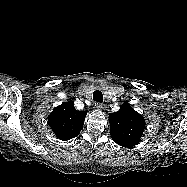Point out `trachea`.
Returning <instances> with one entry per match:
<instances>
[{
  "instance_id": "obj_1",
  "label": "trachea",
  "mask_w": 187,
  "mask_h": 187,
  "mask_svg": "<svg viewBox=\"0 0 187 187\" xmlns=\"http://www.w3.org/2000/svg\"><path fill=\"white\" fill-rule=\"evenodd\" d=\"M93 100L95 102L102 103L103 102V94H102V92L99 91V90L94 91Z\"/></svg>"
}]
</instances>
